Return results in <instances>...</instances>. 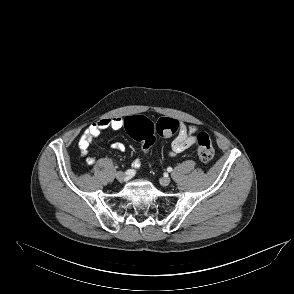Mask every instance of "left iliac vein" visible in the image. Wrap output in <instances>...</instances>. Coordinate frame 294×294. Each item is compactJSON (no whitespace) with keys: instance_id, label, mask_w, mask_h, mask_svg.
<instances>
[{"instance_id":"left-iliac-vein-1","label":"left iliac vein","mask_w":294,"mask_h":294,"mask_svg":"<svg viewBox=\"0 0 294 294\" xmlns=\"http://www.w3.org/2000/svg\"><path fill=\"white\" fill-rule=\"evenodd\" d=\"M159 182L162 186H168L171 183V179L169 177H163Z\"/></svg>"}]
</instances>
